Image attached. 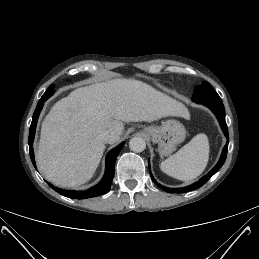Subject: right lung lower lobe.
Segmentation results:
<instances>
[{"instance_id": "1", "label": "right lung lower lobe", "mask_w": 259, "mask_h": 259, "mask_svg": "<svg viewBox=\"0 0 259 259\" xmlns=\"http://www.w3.org/2000/svg\"><path fill=\"white\" fill-rule=\"evenodd\" d=\"M46 100H47L46 98H41L39 100L36 110L33 114L32 123H31L30 131H29L28 142H29V149H30V157H31L32 163L35 168H36V164H35V160H34L33 140H34V136H35V129H36L38 116H39L40 111L43 107V104ZM123 145H124V142L120 143L118 146H116L114 149H112L107 154L105 175L103 176L102 180L96 186H94L88 190H83V191L64 190V189L54 187L53 185L48 183L49 186H51L55 191H57L61 195L66 196L68 198H73V199H87V198L96 197V196L107 193L110 190L111 182L114 177L115 161H116V158H117L119 152L121 151Z\"/></svg>"}]
</instances>
